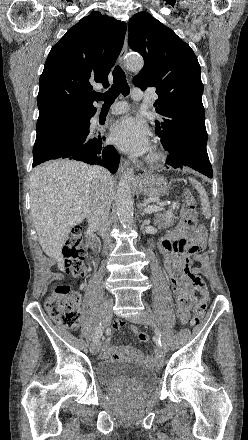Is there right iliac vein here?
<instances>
[{
	"label": "right iliac vein",
	"instance_id": "1",
	"mask_svg": "<svg viewBox=\"0 0 248 440\" xmlns=\"http://www.w3.org/2000/svg\"><path fill=\"white\" fill-rule=\"evenodd\" d=\"M112 306L113 301L112 299H107L103 305L102 309V322L103 327H107L111 321L112 318ZM100 350V342H93L90 347V351L92 354H97Z\"/></svg>",
	"mask_w": 248,
	"mask_h": 440
}]
</instances>
